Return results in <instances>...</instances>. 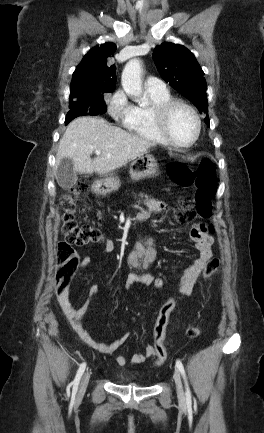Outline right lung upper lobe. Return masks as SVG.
<instances>
[{
	"mask_svg": "<svg viewBox=\"0 0 264 433\" xmlns=\"http://www.w3.org/2000/svg\"><path fill=\"white\" fill-rule=\"evenodd\" d=\"M116 51L114 43L93 47L73 73L70 98L112 92L116 85V68L110 59Z\"/></svg>",
	"mask_w": 264,
	"mask_h": 433,
	"instance_id": "right-lung-upper-lobe-1",
	"label": "right lung upper lobe"
}]
</instances>
